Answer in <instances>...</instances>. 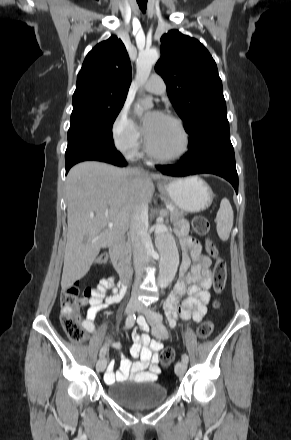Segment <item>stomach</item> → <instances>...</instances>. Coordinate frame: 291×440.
I'll list each match as a JSON object with an SVG mask.
<instances>
[{
    "label": "stomach",
    "instance_id": "0dacf381",
    "mask_svg": "<svg viewBox=\"0 0 291 440\" xmlns=\"http://www.w3.org/2000/svg\"><path fill=\"white\" fill-rule=\"evenodd\" d=\"M158 189L172 204L185 212L203 211L212 204L214 198L211 187L198 176L168 179L159 184Z\"/></svg>",
    "mask_w": 291,
    "mask_h": 440
}]
</instances>
